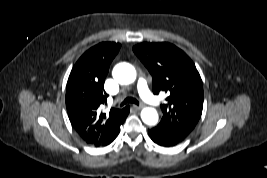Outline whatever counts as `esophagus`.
<instances>
[{
    "mask_svg": "<svg viewBox=\"0 0 267 178\" xmlns=\"http://www.w3.org/2000/svg\"><path fill=\"white\" fill-rule=\"evenodd\" d=\"M144 107V105L140 104V105H134V108L137 110H140Z\"/></svg>",
    "mask_w": 267,
    "mask_h": 178,
    "instance_id": "34e87169",
    "label": "esophagus"
}]
</instances>
